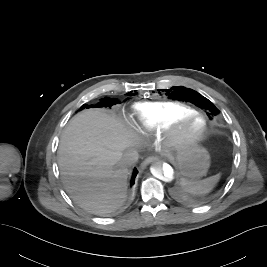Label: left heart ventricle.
Returning <instances> with one entry per match:
<instances>
[{
    "label": "left heart ventricle",
    "mask_w": 267,
    "mask_h": 267,
    "mask_svg": "<svg viewBox=\"0 0 267 267\" xmlns=\"http://www.w3.org/2000/svg\"><path fill=\"white\" fill-rule=\"evenodd\" d=\"M201 125H202V122L200 120L198 119L194 120L190 124L187 125L186 132L188 134L195 133L200 129Z\"/></svg>",
    "instance_id": "left-heart-ventricle-1"
}]
</instances>
